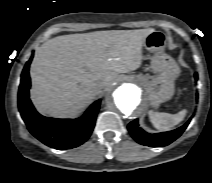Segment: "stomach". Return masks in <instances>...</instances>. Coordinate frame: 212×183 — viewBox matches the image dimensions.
Here are the masks:
<instances>
[{
    "label": "stomach",
    "mask_w": 212,
    "mask_h": 183,
    "mask_svg": "<svg viewBox=\"0 0 212 183\" xmlns=\"http://www.w3.org/2000/svg\"><path fill=\"white\" fill-rule=\"evenodd\" d=\"M167 36L161 31L154 30L144 40L143 47L151 53V69L155 75H136L146 92V99L151 106H159L172 98L174 81L180 73L176 62L164 53Z\"/></svg>",
    "instance_id": "obj_1"
}]
</instances>
